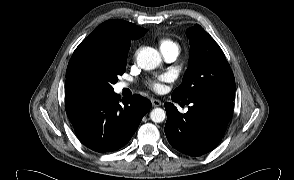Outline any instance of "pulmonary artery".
<instances>
[{
  "instance_id": "pulmonary-artery-1",
  "label": "pulmonary artery",
  "mask_w": 294,
  "mask_h": 180,
  "mask_svg": "<svg viewBox=\"0 0 294 180\" xmlns=\"http://www.w3.org/2000/svg\"><path fill=\"white\" fill-rule=\"evenodd\" d=\"M162 55H163V58L166 62L172 63L177 59V57L179 55V51L176 49H172V50H169V51L162 53ZM123 86H126V84H123Z\"/></svg>"
}]
</instances>
